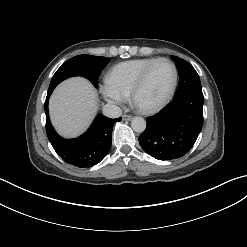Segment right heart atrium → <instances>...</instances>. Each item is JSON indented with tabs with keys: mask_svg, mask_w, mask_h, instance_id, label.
Listing matches in <instances>:
<instances>
[{
	"mask_svg": "<svg viewBox=\"0 0 247 247\" xmlns=\"http://www.w3.org/2000/svg\"><path fill=\"white\" fill-rule=\"evenodd\" d=\"M105 100L114 105H120L126 100V94L112 85L107 79L101 86Z\"/></svg>",
	"mask_w": 247,
	"mask_h": 247,
	"instance_id": "obj_1",
	"label": "right heart atrium"
}]
</instances>
